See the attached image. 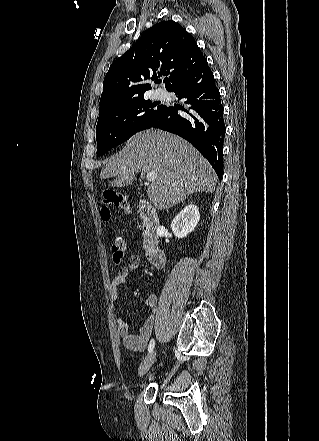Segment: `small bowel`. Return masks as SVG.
<instances>
[{
    "mask_svg": "<svg viewBox=\"0 0 319 441\" xmlns=\"http://www.w3.org/2000/svg\"><path fill=\"white\" fill-rule=\"evenodd\" d=\"M140 262L141 260L138 255H132L129 257L127 265L119 269L117 275L110 283L109 294L112 301H118L120 288L126 284L129 276L138 269ZM157 300L155 294H150L145 298L144 304L149 309V314L137 335L130 333L128 324L120 317H117L118 332L127 349L135 352H143L146 349L154 327V310Z\"/></svg>",
    "mask_w": 319,
    "mask_h": 441,
    "instance_id": "c3829d8e",
    "label": "small bowel"
}]
</instances>
